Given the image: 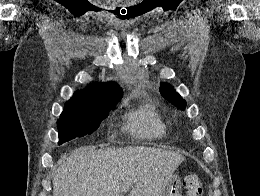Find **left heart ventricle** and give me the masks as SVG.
<instances>
[{"mask_svg": "<svg viewBox=\"0 0 260 196\" xmlns=\"http://www.w3.org/2000/svg\"><path fill=\"white\" fill-rule=\"evenodd\" d=\"M95 190H89L88 192H94ZM115 190H100V192H114Z\"/></svg>", "mask_w": 260, "mask_h": 196, "instance_id": "1", "label": "left heart ventricle"}]
</instances>
